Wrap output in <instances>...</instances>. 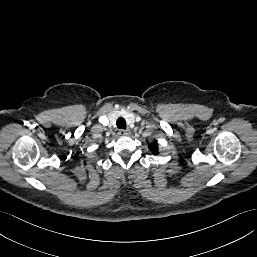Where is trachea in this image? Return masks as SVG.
<instances>
[{
  "label": "trachea",
  "mask_w": 257,
  "mask_h": 257,
  "mask_svg": "<svg viewBox=\"0 0 257 257\" xmlns=\"http://www.w3.org/2000/svg\"><path fill=\"white\" fill-rule=\"evenodd\" d=\"M116 125L119 129H126V121L124 118L120 117L116 121Z\"/></svg>",
  "instance_id": "1"
}]
</instances>
